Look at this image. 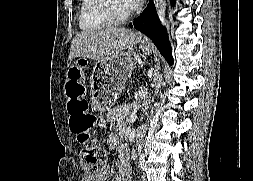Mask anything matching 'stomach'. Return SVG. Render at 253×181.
<instances>
[{
	"label": "stomach",
	"instance_id": "stomach-1",
	"mask_svg": "<svg viewBox=\"0 0 253 181\" xmlns=\"http://www.w3.org/2000/svg\"><path fill=\"white\" fill-rule=\"evenodd\" d=\"M138 44L144 53L148 55L152 53L150 46L143 41H138ZM133 68L134 61L131 54L124 51L114 59L96 63L91 77L94 96L92 109L95 112H104L114 105Z\"/></svg>",
	"mask_w": 253,
	"mask_h": 181
}]
</instances>
